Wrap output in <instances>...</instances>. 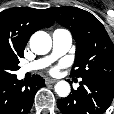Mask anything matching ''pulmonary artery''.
Here are the masks:
<instances>
[{
    "instance_id": "obj_1",
    "label": "pulmonary artery",
    "mask_w": 114,
    "mask_h": 114,
    "mask_svg": "<svg viewBox=\"0 0 114 114\" xmlns=\"http://www.w3.org/2000/svg\"><path fill=\"white\" fill-rule=\"evenodd\" d=\"M52 52L50 55L34 60L21 68V73L43 69L57 58L67 53L72 45V35L67 29H55L52 33Z\"/></svg>"
}]
</instances>
